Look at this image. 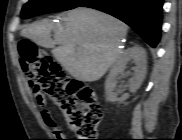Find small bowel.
<instances>
[{"mask_svg": "<svg viewBox=\"0 0 182 140\" xmlns=\"http://www.w3.org/2000/svg\"><path fill=\"white\" fill-rule=\"evenodd\" d=\"M38 104L43 107V110L41 112L42 118L44 122L52 128H55V134L59 137L62 135V133L56 128V123L48 109L45 108V101L42 99H37Z\"/></svg>", "mask_w": 182, "mask_h": 140, "instance_id": "1", "label": "small bowel"}]
</instances>
